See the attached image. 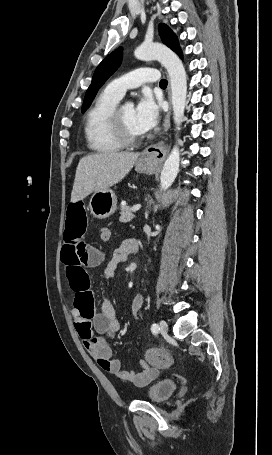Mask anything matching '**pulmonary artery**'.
<instances>
[{"label": "pulmonary artery", "instance_id": "pulmonary-artery-1", "mask_svg": "<svg viewBox=\"0 0 272 455\" xmlns=\"http://www.w3.org/2000/svg\"><path fill=\"white\" fill-rule=\"evenodd\" d=\"M158 80L159 73L156 69L141 67L113 80L107 88L121 98L128 89L136 88L147 82H157Z\"/></svg>", "mask_w": 272, "mask_h": 455}]
</instances>
